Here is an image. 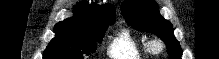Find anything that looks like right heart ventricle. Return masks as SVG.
Returning <instances> with one entry per match:
<instances>
[{
    "mask_svg": "<svg viewBox=\"0 0 219 59\" xmlns=\"http://www.w3.org/2000/svg\"><path fill=\"white\" fill-rule=\"evenodd\" d=\"M151 53L148 42L127 29H121L108 46V55L112 59H143Z\"/></svg>",
    "mask_w": 219,
    "mask_h": 59,
    "instance_id": "obj_1",
    "label": "right heart ventricle"
}]
</instances>
